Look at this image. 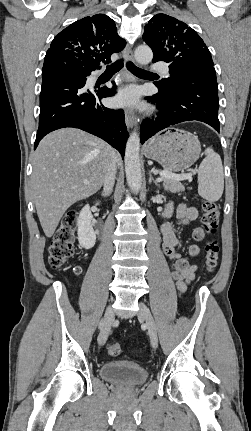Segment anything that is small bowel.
I'll list each match as a JSON object with an SVG mask.
<instances>
[{"label": "small bowel", "instance_id": "obj_1", "mask_svg": "<svg viewBox=\"0 0 251 431\" xmlns=\"http://www.w3.org/2000/svg\"><path fill=\"white\" fill-rule=\"evenodd\" d=\"M176 214L181 224H189L198 218V211L194 207H189L182 203L178 206H174L172 203L166 205L163 218L164 222L161 226V232L163 236L162 249L165 256L171 261V278L175 282L177 288L184 292L188 284L194 280L198 272V266L196 264H189L188 261L181 257L177 251L179 239L175 234L169 219ZM193 238L200 241L204 238L205 233L201 227H197L193 230ZM188 253L191 257H198L201 253V248L197 244H191L188 248ZM75 274H81L82 268H74Z\"/></svg>", "mask_w": 251, "mask_h": 431}]
</instances>
